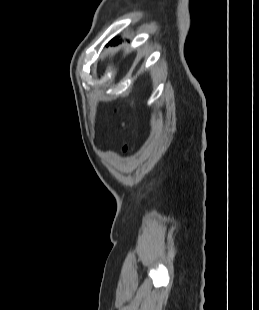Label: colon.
I'll return each mask as SVG.
<instances>
[{
	"instance_id": "5ec220e1",
	"label": "colon",
	"mask_w": 259,
	"mask_h": 310,
	"mask_svg": "<svg viewBox=\"0 0 259 310\" xmlns=\"http://www.w3.org/2000/svg\"><path fill=\"white\" fill-rule=\"evenodd\" d=\"M128 150H129V145H128L127 142H125V143L123 144V151L126 152V151H128Z\"/></svg>"
}]
</instances>
